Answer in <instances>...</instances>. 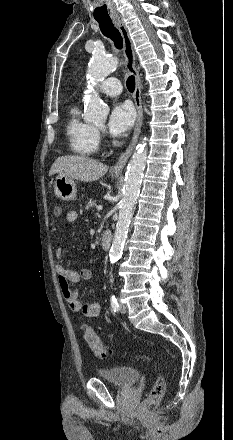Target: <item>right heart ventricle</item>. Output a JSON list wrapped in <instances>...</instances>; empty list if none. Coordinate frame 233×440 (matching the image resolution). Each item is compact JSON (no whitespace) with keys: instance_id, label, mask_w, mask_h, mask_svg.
I'll list each match as a JSON object with an SVG mask.
<instances>
[{"instance_id":"1","label":"right heart ventricle","mask_w":233,"mask_h":440,"mask_svg":"<svg viewBox=\"0 0 233 440\" xmlns=\"http://www.w3.org/2000/svg\"><path fill=\"white\" fill-rule=\"evenodd\" d=\"M66 135L73 153L90 157L99 150V137L96 128L80 116L77 105L70 108L66 124Z\"/></svg>"}]
</instances>
